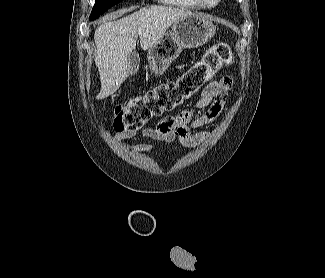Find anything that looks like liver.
I'll return each instance as SVG.
<instances>
[{
  "instance_id": "liver-1",
  "label": "liver",
  "mask_w": 325,
  "mask_h": 278,
  "mask_svg": "<svg viewBox=\"0 0 325 278\" xmlns=\"http://www.w3.org/2000/svg\"><path fill=\"white\" fill-rule=\"evenodd\" d=\"M126 11L116 13L114 18ZM191 15L195 14L185 8L152 5L99 25L94 33V41L101 91L96 98L104 99L114 94L130 75L129 57L135 49L137 36L141 48L149 49L172 24Z\"/></svg>"
}]
</instances>
